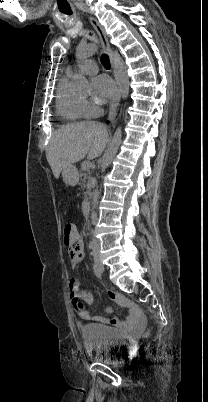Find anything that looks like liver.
Instances as JSON below:
<instances>
[{
	"mask_svg": "<svg viewBox=\"0 0 208 402\" xmlns=\"http://www.w3.org/2000/svg\"><path fill=\"white\" fill-rule=\"evenodd\" d=\"M107 142L108 132L105 126L96 122L68 124L56 130L46 152L54 178H59L64 168L83 160L86 154L88 160L101 156Z\"/></svg>",
	"mask_w": 208,
	"mask_h": 402,
	"instance_id": "obj_1",
	"label": "liver"
}]
</instances>
